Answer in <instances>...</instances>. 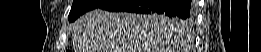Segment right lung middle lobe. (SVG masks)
I'll list each match as a JSON object with an SVG mask.
<instances>
[{"label": "right lung middle lobe", "mask_w": 261, "mask_h": 52, "mask_svg": "<svg viewBox=\"0 0 261 52\" xmlns=\"http://www.w3.org/2000/svg\"><path fill=\"white\" fill-rule=\"evenodd\" d=\"M106 2L107 0H74L69 14V21L70 22L75 21L80 15L84 14L89 10L100 7ZM161 19L175 26H179V25L187 26L188 23L192 21L193 17L183 20L178 17H170L164 15Z\"/></svg>", "instance_id": "right-lung-middle-lobe-1"}]
</instances>
